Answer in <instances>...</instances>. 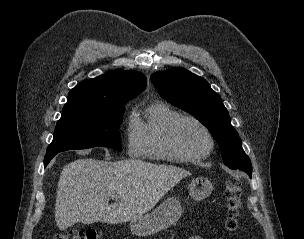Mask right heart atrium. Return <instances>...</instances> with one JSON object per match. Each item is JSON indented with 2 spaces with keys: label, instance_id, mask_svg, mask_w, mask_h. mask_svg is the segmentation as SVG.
Wrapping results in <instances>:
<instances>
[{
  "label": "right heart atrium",
  "instance_id": "1",
  "mask_svg": "<svg viewBox=\"0 0 304 239\" xmlns=\"http://www.w3.org/2000/svg\"><path fill=\"white\" fill-rule=\"evenodd\" d=\"M126 146L131 155H138L141 151V137L136 123V119L130 116L126 127Z\"/></svg>",
  "mask_w": 304,
  "mask_h": 239
}]
</instances>
